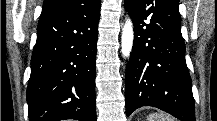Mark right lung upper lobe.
<instances>
[{
    "instance_id": "obj_1",
    "label": "right lung upper lobe",
    "mask_w": 217,
    "mask_h": 121,
    "mask_svg": "<svg viewBox=\"0 0 217 121\" xmlns=\"http://www.w3.org/2000/svg\"><path fill=\"white\" fill-rule=\"evenodd\" d=\"M78 2L79 0H44L42 12L74 5L77 4Z\"/></svg>"
}]
</instances>
